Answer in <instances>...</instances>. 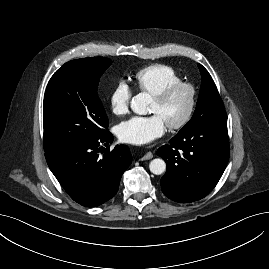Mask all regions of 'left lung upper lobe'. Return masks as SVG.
<instances>
[{
  "mask_svg": "<svg viewBox=\"0 0 269 269\" xmlns=\"http://www.w3.org/2000/svg\"><path fill=\"white\" fill-rule=\"evenodd\" d=\"M198 67L202 84L197 106L191 120L179 132L197 125L227 123L226 111L211 75L201 64Z\"/></svg>",
  "mask_w": 269,
  "mask_h": 269,
  "instance_id": "1",
  "label": "left lung upper lobe"
}]
</instances>
